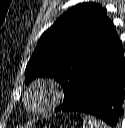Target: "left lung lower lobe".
Segmentation results:
<instances>
[{
  "instance_id": "0a47b994",
  "label": "left lung lower lobe",
  "mask_w": 125,
  "mask_h": 128,
  "mask_svg": "<svg viewBox=\"0 0 125 128\" xmlns=\"http://www.w3.org/2000/svg\"><path fill=\"white\" fill-rule=\"evenodd\" d=\"M124 86V54L119 40L89 70L75 99L59 110L91 114L115 127L123 114Z\"/></svg>"
}]
</instances>
